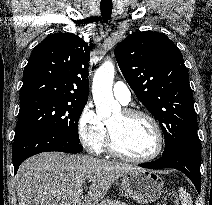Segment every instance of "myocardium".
I'll return each instance as SVG.
<instances>
[{"mask_svg":"<svg viewBox=\"0 0 212 205\" xmlns=\"http://www.w3.org/2000/svg\"><path fill=\"white\" fill-rule=\"evenodd\" d=\"M123 114L126 117H141L146 119L149 124L151 125L153 132H154V138H155V145L153 150L144 156H139V157H135V156H129L125 153H123L116 145L113 134L109 128V126L107 127L108 129V136H107V149L108 151L122 159L128 162H133V163H145V162H149L152 161L154 159H156L160 153L162 152L163 149V134L160 128L159 123L157 122V120L148 112L142 111V110H136V109H125L123 110Z\"/></svg>","mask_w":212,"mask_h":205,"instance_id":"obj_1","label":"myocardium"}]
</instances>
